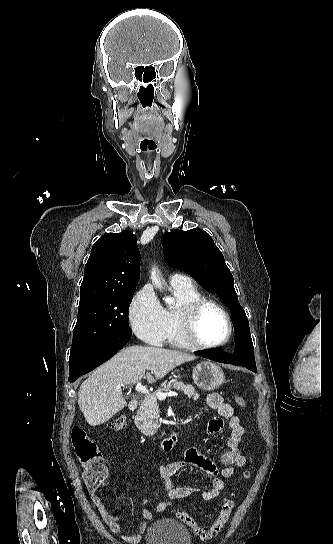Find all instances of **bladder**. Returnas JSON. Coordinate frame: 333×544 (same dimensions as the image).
Instances as JSON below:
<instances>
[{
    "label": "bladder",
    "instance_id": "1",
    "mask_svg": "<svg viewBox=\"0 0 333 544\" xmlns=\"http://www.w3.org/2000/svg\"><path fill=\"white\" fill-rule=\"evenodd\" d=\"M145 544H191V536L182 523L162 518L147 530Z\"/></svg>",
    "mask_w": 333,
    "mask_h": 544
}]
</instances>
